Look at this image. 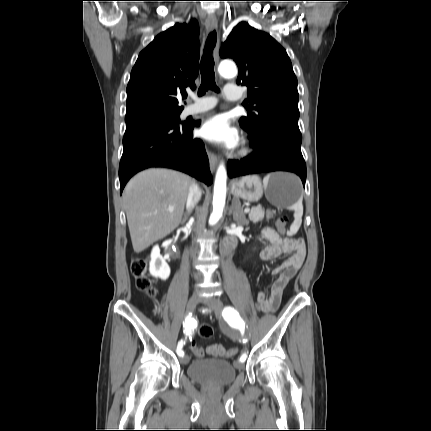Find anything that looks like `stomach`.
<instances>
[{"instance_id":"stomach-1","label":"stomach","mask_w":431,"mask_h":431,"mask_svg":"<svg viewBox=\"0 0 431 431\" xmlns=\"http://www.w3.org/2000/svg\"><path fill=\"white\" fill-rule=\"evenodd\" d=\"M234 197L248 202H257L263 192L267 200L278 208H292L301 198L302 187L299 178L291 173L277 172L269 175L267 183L261 182L256 175H248L231 185Z\"/></svg>"}]
</instances>
